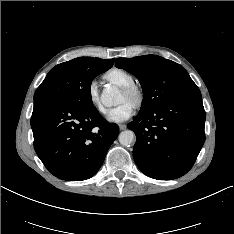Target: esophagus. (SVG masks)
I'll list each match as a JSON object with an SVG mask.
<instances>
[{
	"label": "esophagus",
	"instance_id": "1",
	"mask_svg": "<svg viewBox=\"0 0 234 234\" xmlns=\"http://www.w3.org/2000/svg\"><path fill=\"white\" fill-rule=\"evenodd\" d=\"M127 128V125L125 124H119V129L120 130H125Z\"/></svg>",
	"mask_w": 234,
	"mask_h": 234
}]
</instances>
